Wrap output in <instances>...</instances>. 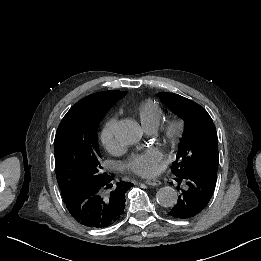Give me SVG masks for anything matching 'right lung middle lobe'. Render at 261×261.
Returning a JSON list of instances; mask_svg holds the SVG:
<instances>
[{
  "label": "right lung middle lobe",
  "mask_w": 261,
  "mask_h": 261,
  "mask_svg": "<svg viewBox=\"0 0 261 261\" xmlns=\"http://www.w3.org/2000/svg\"><path fill=\"white\" fill-rule=\"evenodd\" d=\"M108 110L74 105L62 119L54 141L55 169L62 196L80 183L105 174L100 163L97 128Z\"/></svg>",
  "instance_id": "1"
}]
</instances>
